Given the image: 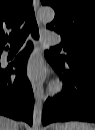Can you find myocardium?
<instances>
[{"mask_svg":"<svg viewBox=\"0 0 95 130\" xmlns=\"http://www.w3.org/2000/svg\"><path fill=\"white\" fill-rule=\"evenodd\" d=\"M50 91L52 94L60 93L62 91V84L59 81L53 82L50 87Z\"/></svg>","mask_w":95,"mask_h":130,"instance_id":"obj_1","label":"myocardium"}]
</instances>
